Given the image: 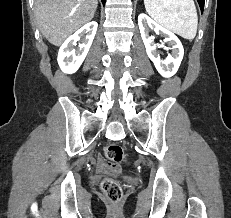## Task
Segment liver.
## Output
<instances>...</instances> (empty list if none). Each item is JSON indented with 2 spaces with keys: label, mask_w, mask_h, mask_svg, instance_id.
<instances>
[{
  "label": "liver",
  "mask_w": 231,
  "mask_h": 218,
  "mask_svg": "<svg viewBox=\"0 0 231 218\" xmlns=\"http://www.w3.org/2000/svg\"><path fill=\"white\" fill-rule=\"evenodd\" d=\"M97 5V0H35V16L42 35L60 46L91 21Z\"/></svg>",
  "instance_id": "1"
}]
</instances>
